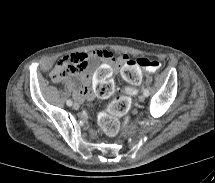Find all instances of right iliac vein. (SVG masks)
<instances>
[{"instance_id": "right-iliac-vein-1", "label": "right iliac vein", "mask_w": 215, "mask_h": 183, "mask_svg": "<svg viewBox=\"0 0 215 183\" xmlns=\"http://www.w3.org/2000/svg\"><path fill=\"white\" fill-rule=\"evenodd\" d=\"M79 107H80V105H79L78 103H74V104H73V108H74L75 110H78Z\"/></svg>"}]
</instances>
